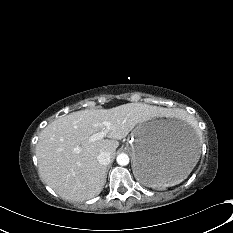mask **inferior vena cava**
<instances>
[{
	"instance_id": "602c4592",
	"label": "inferior vena cava",
	"mask_w": 233,
	"mask_h": 233,
	"mask_svg": "<svg viewBox=\"0 0 233 233\" xmlns=\"http://www.w3.org/2000/svg\"><path fill=\"white\" fill-rule=\"evenodd\" d=\"M97 160L101 165H108L111 161V154L109 152H101L98 156H97Z\"/></svg>"
}]
</instances>
